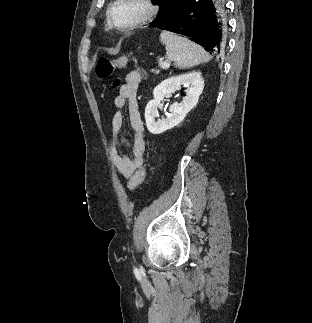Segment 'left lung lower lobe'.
Wrapping results in <instances>:
<instances>
[{
	"instance_id": "1",
	"label": "left lung lower lobe",
	"mask_w": 312,
	"mask_h": 323,
	"mask_svg": "<svg viewBox=\"0 0 312 323\" xmlns=\"http://www.w3.org/2000/svg\"><path fill=\"white\" fill-rule=\"evenodd\" d=\"M223 0H177L159 29L188 37L215 56L227 49L228 27Z\"/></svg>"
}]
</instances>
